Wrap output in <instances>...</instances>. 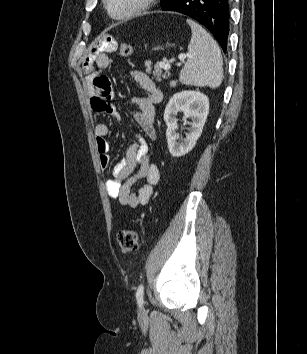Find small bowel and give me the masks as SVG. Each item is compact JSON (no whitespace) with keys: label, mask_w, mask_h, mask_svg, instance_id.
<instances>
[{"label":"small bowel","mask_w":307,"mask_h":354,"mask_svg":"<svg viewBox=\"0 0 307 354\" xmlns=\"http://www.w3.org/2000/svg\"><path fill=\"white\" fill-rule=\"evenodd\" d=\"M116 48V39L112 35H105L84 59L82 69L85 73V82L92 89V109L98 113L111 114L121 120L119 111L109 101L113 96L110 81L97 71L109 65V57L103 52ZM131 75L146 92L145 96L133 100L137 105L135 119L140 132L127 149L125 157L113 167V178L107 180L105 186L109 197L118 199L123 206L137 208L150 201L154 186L160 180L159 169L150 160L148 140H153L156 136L155 105L162 100V92L146 73L134 70ZM108 132L106 123L96 124L94 133L102 169H107L110 164V145L106 138ZM140 179H144L145 183L137 193H133L131 188Z\"/></svg>","instance_id":"1"}]
</instances>
